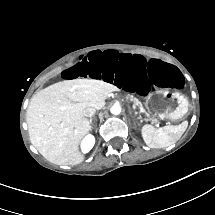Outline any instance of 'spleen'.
I'll return each instance as SVG.
<instances>
[{
	"label": "spleen",
	"mask_w": 215,
	"mask_h": 215,
	"mask_svg": "<svg viewBox=\"0 0 215 215\" xmlns=\"http://www.w3.org/2000/svg\"><path fill=\"white\" fill-rule=\"evenodd\" d=\"M142 137L150 148H163L178 141L181 134H179V126L168 125L156 129L146 124L142 127Z\"/></svg>",
	"instance_id": "1"
}]
</instances>
